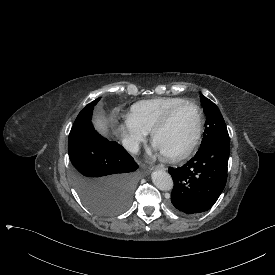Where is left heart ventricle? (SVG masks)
Listing matches in <instances>:
<instances>
[{"mask_svg": "<svg viewBox=\"0 0 275 275\" xmlns=\"http://www.w3.org/2000/svg\"><path fill=\"white\" fill-rule=\"evenodd\" d=\"M196 125L195 111L191 106L181 107L169 126L159 133L153 147L159 152L171 153L183 147L192 137Z\"/></svg>", "mask_w": 275, "mask_h": 275, "instance_id": "1", "label": "left heart ventricle"}]
</instances>
